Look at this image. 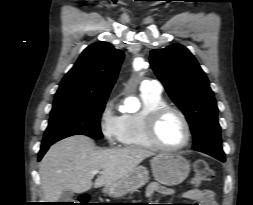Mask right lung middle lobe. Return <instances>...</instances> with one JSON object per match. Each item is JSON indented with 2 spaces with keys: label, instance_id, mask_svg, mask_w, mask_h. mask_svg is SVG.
<instances>
[{
  "label": "right lung middle lobe",
  "instance_id": "1",
  "mask_svg": "<svg viewBox=\"0 0 253 205\" xmlns=\"http://www.w3.org/2000/svg\"><path fill=\"white\" fill-rule=\"evenodd\" d=\"M107 99L54 101L49 125L42 145L53 144L65 137L82 134L102 139L100 118Z\"/></svg>",
  "mask_w": 253,
  "mask_h": 205
}]
</instances>
